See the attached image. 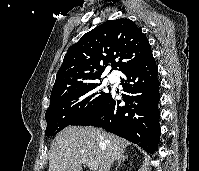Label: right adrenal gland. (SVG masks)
<instances>
[{
    "mask_svg": "<svg viewBox=\"0 0 199 171\" xmlns=\"http://www.w3.org/2000/svg\"><path fill=\"white\" fill-rule=\"evenodd\" d=\"M126 159H128V156H125L124 153H121L120 156H119L118 159H117V163H118V164H117V167L115 168V171L118 170L120 164H121L122 162H124Z\"/></svg>",
    "mask_w": 199,
    "mask_h": 171,
    "instance_id": "obj_1",
    "label": "right adrenal gland"
}]
</instances>
